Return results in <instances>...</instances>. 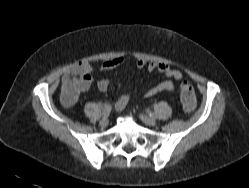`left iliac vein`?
<instances>
[{"instance_id":"4c4485c4","label":"left iliac vein","mask_w":249,"mask_h":188,"mask_svg":"<svg viewBox=\"0 0 249 188\" xmlns=\"http://www.w3.org/2000/svg\"><path fill=\"white\" fill-rule=\"evenodd\" d=\"M141 120L149 126H155L156 125V120L154 118H151L146 115H140Z\"/></svg>"}]
</instances>
